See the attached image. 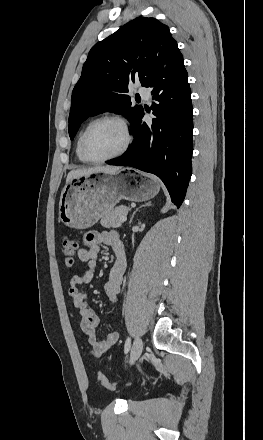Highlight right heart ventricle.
<instances>
[{"instance_id":"1","label":"right heart ventricle","mask_w":263,"mask_h":440,"mask_svg":"<svg viewBox=\"0 0 263 440\" xmlns=\"http://www.w3.org/2000/svg\"><path fill=\"white\" fill-rule=\"evenodd\" d=\"M84 129H85V128H83V129L81 130V132L79 133V135L77 136L76 144H75V154H76V157H77V159H78L80 162H82V163H86V161H85V160L82 158V156H81L80 148H79V144H80V139H81V136H82V133H83Z\"/></svg>"}]
</instances>
